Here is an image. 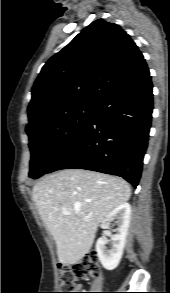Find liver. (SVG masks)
I'll use <instances>...</instances> for the list:
<instances>
[{"mask_svg": "<svg viewBox=\"0 0 170 293\" xmlns=\"http://www.w3.org/2000/svg\"><path fill=\"white\" fill-rule=\"evenodd\" d=\"M130 195V186L122 178L82 169L45 176L32 192L64 265L76 264L89 252L99 223ZM63 210L69 214L64 215Z\"/></svg>", "mask_w": 170, "mask_h": 293, "instance_id": "obj_1", "label": "liver"}]
</instances>
